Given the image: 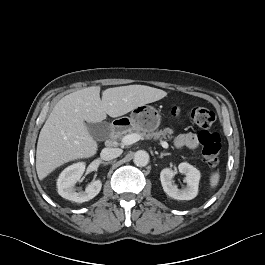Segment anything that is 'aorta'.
<instances>
[{
    "label": "aorta",
    "instance_id": "1",
    "mask_svg": "<svg viewBox=\"0 0 265 265\" xmlns=\"http://www.w3.org/2000/svg\"><path fill=\"white\" fill-rule=\"evenodd\" d=\"M133 162L138 167H144L149 163V154L144 150H138L134 154Z\"/></svg>",
    "mask_w": 265,
    "mask_h": 265
}]
</instances>
